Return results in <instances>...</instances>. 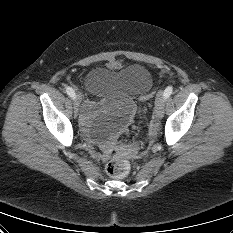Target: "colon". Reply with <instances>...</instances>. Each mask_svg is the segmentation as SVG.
Returning <instances> with one entry per match:
<instances>
[{"label":"colon","instance_id":"1","mask_svg":"<svg viewBox=\"0 0 233 233\" xmlns=\"http://www.w3.org/2000/svg\"><path fill=\"white\" fill-rule=\"evenodd\" d=\"M154 92L147 93L142 97V101L147 102L152 99ZM141 142L119 147V152L122 154H137L140 151ZM130 171L129 162L122 156L113 158L106 165V172L112 178H123Z\"/></svg>","mask_w":233,"mask_h":233}]
</instances>
